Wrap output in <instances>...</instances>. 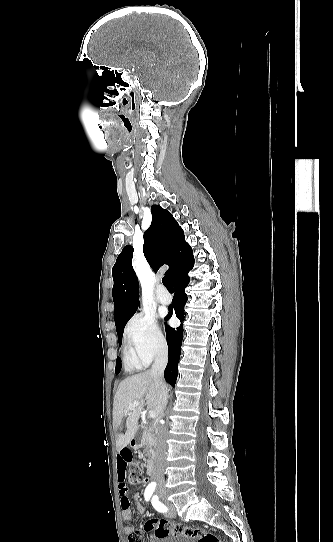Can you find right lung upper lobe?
Segmentation results:
<instances>
[{
	"mask_svg": "<svg viewBox=\"0 0 333 542\" xmlns=\"http://www.w3.org/2000/svg\"><path fill=\"white\" fill-rule=\"evenodd\" d=\"M151 210L152 223L144 233V256L154 271L168 264L166 274L170 275L177 254L188 244L183 230L167 210L159 205H153ZM132 253L133 247L125 246L112 269L115 325L139 306V283L132 267Z\"/></svg>",
	"mask_w": 333,
	"mask_h": 542,
	"instance_id": "right-lung-upper-lobe-1",
	"label": "right lung upper lobe"
}]
</instances>
